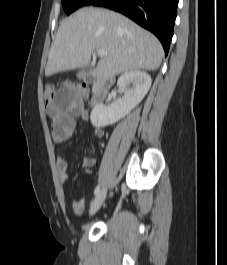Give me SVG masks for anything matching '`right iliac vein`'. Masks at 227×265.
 <instances>
[{"mask_svg": "<svg viewBox=\"0 0 227 265\" xmlns=\"http://www.w3.org/2000/svg\"><path fill=\"white\" fill-rule=\"evenodd\" d=\"M107 189L103 188L95 197V199L92 201L91 206H90V211L89 214L93 215L95 214L98 209L101 207L103 204L105 197H106Z\"/></svg>", "mask_w": 227, "mask_h": 265, "instance_id": "obj_1", "label": "right iliac vein"}]
</instances>
